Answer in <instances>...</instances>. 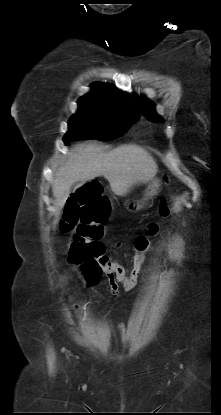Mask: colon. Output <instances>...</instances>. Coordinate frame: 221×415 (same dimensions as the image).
<instances>
[{
	"label": "colon",
	"instance_id": "1",
	"mask_svg": "<svg viewBox=\"0 0 221 415\" xmlns=\"http://www.w3.org/2000/svg\"><path fill=\"white\" fill-rule=\"evenodd\" d=\"M160 212L167 214L165 202L161 204ZM109 205L98 187L88 184L78 190L69 199L60 228L63 232L75 229V235L70 246L69 260L81 266L92 282L98 281L102 275L109 283L120 284L124 294L134 291L137 280L147 262L146 251L150 245V236L157 227L151 225L147 235H140L134 241L135 252L128 264L129 273L124 262L111 259L104 255L105 247L100 242L104 235V224L108 220Z\"/></svg>",
	"mask_w": 221,
	"mask_h": 415
}]
</instances>
